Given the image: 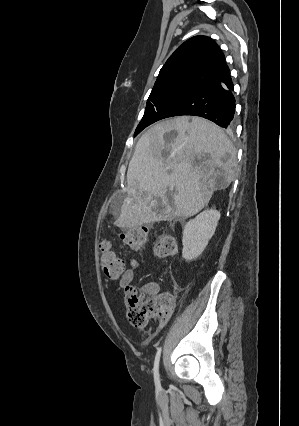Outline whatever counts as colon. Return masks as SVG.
I'll return each mask as SVG.
<instances>
[{
    "label": "colon",
    "instance_id": "5ec220e1",
    "mask_svg": "<svg viewBox=\"0 0 299 426\" xmlns=\"http://www.w3.org/2000/svg\"><path fill=\"white\" fill-rule=\"evenodd\" d=\"M122 242L133 250H141L145 247L148 238V230L144 227L131 228L120 235ZM100 262L106 276L119 278L125 272V261L117 256L107 240L101 241ZM154 251L158 256H172L177 251L175 236L170 232H161L154 243ZM125 301L127 316L130 323L138 328L147 325L151 317L162 316L171 305V297L166 294H156L149 286H128L125 289Z\"/></svg>",
    "mask_w": 299,
    "mask_h": 426
}]
</instances>
